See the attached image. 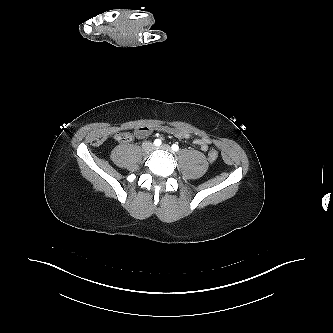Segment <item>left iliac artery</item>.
Here are the masks:
<instances>
[{
	"mask_svg": "<svg viewBox=\"0 0 333 333\" xmlns=\"http://www.w3.org/2000/svg\"><path fill=\"white\" fill-rule=\"evenodd\" d=\"M172 150L177 152L179 150V146L177 144L172 145Z\"/></svg>",
	"mask_w": 333,
	"mask_h": 333,
	"instance_id": "obj_1",
	"label": "left iliac artery"
}]
</instances>
